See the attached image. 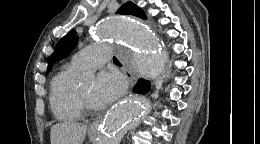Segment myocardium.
Listing matches in <instances>:
<instances>
[{
  "mask_svg": "<svg viewBox=\"0 0 260 144\" xmlns=\"http://www.w3.org/2000/svg\"><path fill=\"white\" fill-rule=\"evenodd\" d=\"M78 102L82 107V111L84 110L89 114H94L98 111L97 107L86 97L81 87L78 88Z\"/></svg>",
  "mask_w": 260,
  "mask_h": 144,
  "instance_id": "1",
  "label": "myocardium"
}]
</instances>
